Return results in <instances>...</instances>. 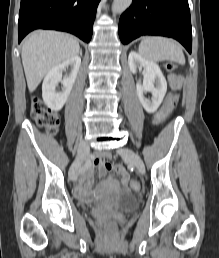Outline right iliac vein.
I'll return each mask as SVG.
<instances>
[{
    "instance_id": "right-iliac-vein-1",
    "label": "right iliac vein",
    "mask_w": 219,
    "mask_h": 258,
    "mask_svg": "<svg viewBox=\"0 0 219 258\" xmlns=\"http://www.w3.org/2000/svg\"><path fill=\"white\" fill-rule=\"evenodd\" d=\"M89 153V146L86 141L81 140L78 145V150H77V157L76 160L73 162L69 169V179L71 181H76L78 177V172L80 169V166L82 162L86 159V156Z\"/></svg>"
}]
</instances>
